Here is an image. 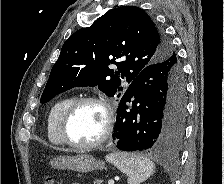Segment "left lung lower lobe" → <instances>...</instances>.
Here are the masks:
<instances>
[{"instance_id":"left-lung-lower-lobe-1","label":"left lung lower lobe","mask_w":224,"mask_h":184,"mask_svg":"<svg viewBox=\"0 0 224 184\" xmlns=\"http://www.w3.org/2000/svg\"><path fill=\"white\" fill-rule=\"evenodd\" d=\"M114 128L116 147L171 153L181 144L186 84L176 56L145 67L121 98Z\"/></svg>"}]
</instances>
